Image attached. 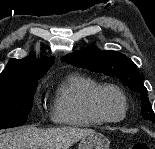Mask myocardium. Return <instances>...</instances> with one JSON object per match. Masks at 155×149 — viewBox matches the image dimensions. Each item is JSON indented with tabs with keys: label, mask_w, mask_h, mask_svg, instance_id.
Segmentation results:
<instances>
[{
	"label": "myocardium",
	"mask_w": 155,
	"mask_h": 149,
	"mask_svg": "<svg viewBox=\"0 0 155 149\" xmlns=\"http://www.w3.org/2000/svg\"><path fill=\"white\" fill-rule=\"evenodd\" d=\"M105 91L115 92L122 99L124 108H123L122 115L120 117L111 118L103 111L101 104H100V97H101V94ZM90 103H91V107L94 113L102 121L107 122V123H117V122L124 120L129 111V102H128L126 94L120 87H118L115 84H110V83L99 84L91 93Z\"/></svg>",
	"instance_id": "1"
}]
</instances>
